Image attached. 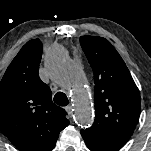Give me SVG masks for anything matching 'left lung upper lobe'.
Wrapping results in <instances>:
<instances>
[{
  "instance_id": "left-lung-upper-lobe-1",
  "label": "left lung upper lobe",
  "mask_w": 151,
  "mask_h": 151,
  "mask_svg": "<svg viewBox=\"0 0 151 151\" xmlns=\"http://www.w3.org/2000/svg\"><path fill=\"white\" fill-rule=\"evenodd\" d=\"M80 44L95 83V121L85 131L130 138L139 119L141 99L127 66L103 37L81 36Z\"/></svg>"
}]
</instances>
